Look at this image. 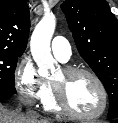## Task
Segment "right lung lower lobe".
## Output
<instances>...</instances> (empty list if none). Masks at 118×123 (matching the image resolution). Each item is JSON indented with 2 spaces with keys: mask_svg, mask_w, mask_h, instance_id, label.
<instances>
[{
  "mask_svg": "<svg viewBox=\"0 0 118 123\" xmlns=\"http://www.w3.org/2000/svg\"><path fill=\"white\" fill-rule=\"evenodd\" d=\"M14 95V93L0 92V100L9 99Z\"/></svg>",
  "mask_w": 118,
  "mask_h": 123,
  "instance_id": "obj_1",
  "label": "right lung lower lobe"
}]
</instances>
